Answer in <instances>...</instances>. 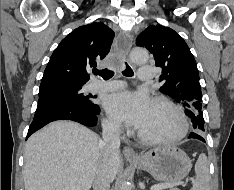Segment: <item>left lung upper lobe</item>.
Wrapping results in <instances>:
<instances>
[{
  "label": "left lung upper lobe",
  "instance_id": "5c2ea615",
  "mask_svg": "<svg viewBox=\"0 0 234 190\" xmlns=\"http://www.w3.org/2000/svg\"><path fill=\"white\" fill-rule=\"evenodd\" d=\"M136 45L147 48L162 68L160 90L181 103L191 118L196 132L204 131L201 111L202 92L194 56L183 38L173 29L162 25L147 27L136 39Z\"/></svg>",
  "mask_w": 234,
  "mask_h": 190
}]
</instances>
